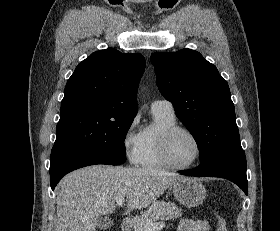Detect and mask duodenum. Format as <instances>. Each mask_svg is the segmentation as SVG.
<instances>
[{
    "label": "duodenum",
    "mask_w": 280,
    "mask_h": 231,
    "mask_svg": "<svg viewBox=\"0 0 280 231\" xmlns=\"http://www.w3.org/2000/svg\"><path fill=\"white\" fill-rule=\"evenodd\" d=\"M133 223V219L131 217H124L121 220V231H130V227Z\"/></svg>",
    "instance_id": "1"
}]
</instances>
